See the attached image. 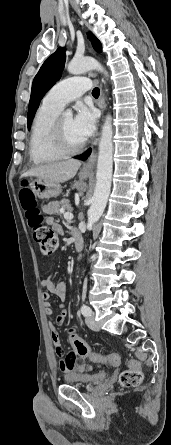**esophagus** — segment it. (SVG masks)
<instances>
[{"label":"esophagus","mask_w":171,"mask_h":445,"mask_svg":"<svg viewBox=\"0 0 171 445\" xmlns=\"http://www.w3.org/2000/svg\"><path fill=\"white\" fill-rule=\"evenodd\" d=\"M100 108L102 109V111L105 109V99H104V95L101 93V97H100V102H99ZM96 151L93 150L92 154L90 155V157L88 158L87 162L83 165L81 171L84 173H89L93 170L95 163H96Z\"/></svg>","instance_id":"34e87169"}]
</instances>
